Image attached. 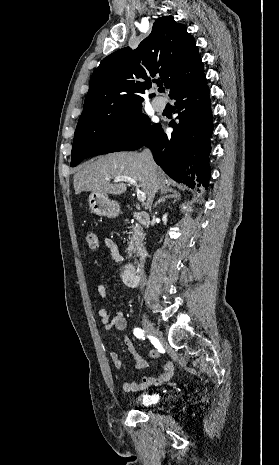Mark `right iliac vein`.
Listing matches in <instances>:
<instances>
[{"label":"right iliac vein","mask_w":279,"mask_h":465,"mask_svg":"<svg viewBox=\"0 0 279 465\" xmlns=\"http://www.w3.org/2000/svg\"><path fill=\"white\" fill-rule=\"evenodd\" d=\"M142 325H143V328L145 330V332L156 338V339H159L160 338V334L158 332V330L155 328V326L153 325V323L146 317V316H143L142 317Z\"/></svg>","instance_id":"1"}]
</instances>
